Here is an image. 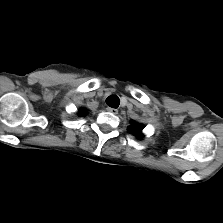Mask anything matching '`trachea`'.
Masks as SVG:
<instances>
[{"label":"trachea","instance_id":"obj_1","mask_svg":"<svg viewBox=\"0 0 223 223\" xmlns=\"http://www.w3.org/2000/svg\"><path fill=\"white\" fill-rule=\"evenodd\" d=\"M106 103L108 106L112 107V108H118L119 104H120V99L118 96L116 95H110L107 99H106Z\"/></svg>","mask_w":223,"mask_h":223}]
</instances>
